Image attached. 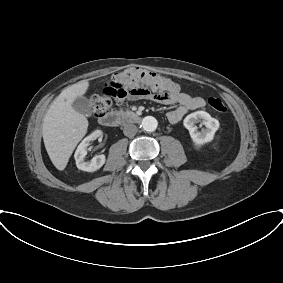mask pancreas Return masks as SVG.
<instances>
[{"mask_svg": "<svg viewBox=\"0 0 283 283\" xmlns=\"http://www.w3.org/2000/svg\"><path fill=\"white\" fill-rule=\"evenodd\" d=\"M121 112L123 113V111H122V110H121ZM126 114H130V112H129V111H127V112H126Z\"/></svg>", "mask_w": 283, "mask_h": 283, "instance_id": "1", "label": "pancreas"}]
</instances>
